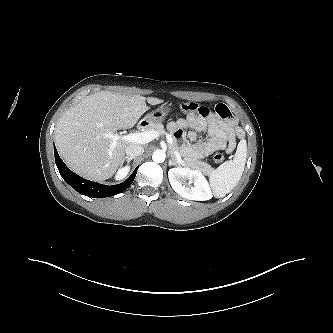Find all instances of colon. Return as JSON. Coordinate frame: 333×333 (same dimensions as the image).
Masks as SVG:
<instances>
[{
    "instance_id": "colon-1",
    "label": "colon",
    "mask_w": 333,
    "mask_h": 333,
    "mask_svg": "<svg viewBox=\"0 0 333 333\" xmlns=\"http://www.w3.org/2000/svg\"><path fill=\"white\" fill-rule=\"evenodd\" d=\"M203 108V106L199 105L198 103L195 102H183L179 105V109L182 112H189V113H193V112H198ZM213 160L215 163H221L224 160V154L221 152H217L214 154L213 156Z\"/></svg>"
}]
</instances>
